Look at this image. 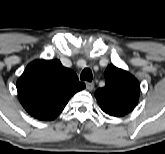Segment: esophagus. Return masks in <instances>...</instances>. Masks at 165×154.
<instances>
[{
	"label": "esophagus",
	"mask_w": 165,
	"mask_h": 154,
	"mask_svg": "<svg viewBox=\"0 0 165 154\" xmlns=\"http://www.w3.org/2000/svg\"><path fill=\"white\" fill-rule=\"evenodd\" d=\"M86 89L92 91L94 89V84L92 82H86Z\"/></svg>",
	"instance_id": "1"
}]
</instances>
